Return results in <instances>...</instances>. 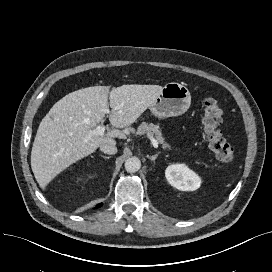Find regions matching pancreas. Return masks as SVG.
Instances as JSON below:
<instances>
[{
    "label": "pancreas",
    "mask_w": 272,
    "mask_h": 272,
    "mask_svg": "<svg viewBox=\"0 0 272 272\" xmlns=\"http://www.w3.org/2000/svg\"><path fill=\"white\" fill-rule=\"evenodd\" d=\"M136 134L155 137L158 144H161L163 149H171V146L165 141L159 125L143 122L138 126Z\"/></svg>",
    "instance_id": "1"
}]
</instances>
